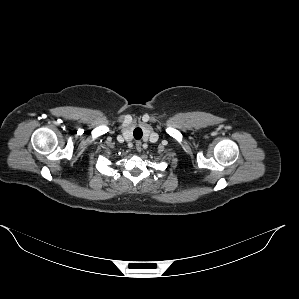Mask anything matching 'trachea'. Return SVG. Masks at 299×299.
Masks as SVG:
<instances>
[{
  "label": "trachea",
  "mask_w": 299,
  "mask_h": 299,
  "mask_svg": "<svg viewBox=\"0 0 299 299\" xmlns=\"http://www.w3.org/2000/svg\"><path fill=\"white\" fill-rule=\"evenodd\" d=\"M133 135L135 139L137 140L141 139L143 135L142 129L139 127L135 128L133 131Z\"/></svg>",
  "instance_id": "1"
}]
</instances>
